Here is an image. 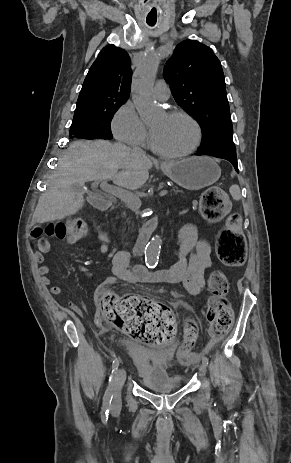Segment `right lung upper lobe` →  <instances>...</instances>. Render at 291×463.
<instances>
[{
    "label": "right lung upper lobe",
    "mask_w": 291,
    "mask_h": 463,
    "mask_svg": "<svg viewBox=\"0 0 291 463\" xmlns=\"http://www.w3.org/2000/svg\"><path fill=\"white\" fill-rule=\"evenodd\" d=\"M131 77L128 53L112 44L105 46L84 80L74 116L96 110L108 101L125 102Z\"/></svg>",
    "instance_id": "1"
}]
</instances>
